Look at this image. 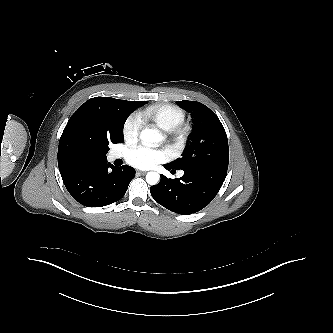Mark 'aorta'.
Instances as JSON below:
<instances>
[{
    "label": "aorta",
    "mask_w": 333,
    "mask_h": 333,
    "mask_svg": "<svg viewBox=\"0 0 333 333\" xmlns=\"http://www.w3.org/2000/svg\"><path fill=\"white\" fill-rule=\"evenodd\" d=\"M140 139L144 143H159L162 141V134L157 129H144L141 131ZM160 176L156 172H148L146 174V182L149 185H156L159 182Z\"/></svg>",
    "instance_id": "aorta-1"
}]
</instances>
